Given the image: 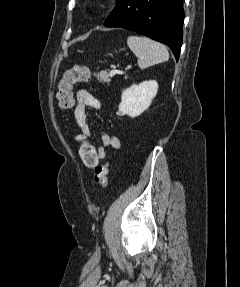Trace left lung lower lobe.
Returning <instances> with one entry per match:
<instances>
[{
  "mask_svg": "<svg viewBox=\"0 0 240 287\" xmlns=\"http://www.w3.org/2000/svg\"><path fill=\"white\" fill-rule=\"evenodd\" d=\"M183 20L182 0H117L104 25L135 31L164 43L178 61Z\"/></svg>",
  "mask_w": 240,
  "mask_h": 287,
  "instance_id": "obj_1",
  "label": "left lung lower lobe"
}]
</instances>
